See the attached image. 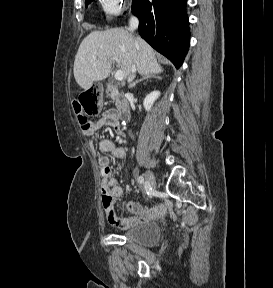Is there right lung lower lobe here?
<instances>
[{
    "label": "right lung lower lobe",
    "mask_w": 273,
    "mask_h": 288,
    "mask_svg": "<svg viewBox=\"0 0 273 288\" xmlns=\"http://www.w3.org/2000/svg\"><path fill=\"white\" fill-rule=\"evenodd\" d=\"M186 0H133L139 34L179 68L190 42Z\"/></svg>",
    "instance_id": "obj_1"
}]
</instances>
